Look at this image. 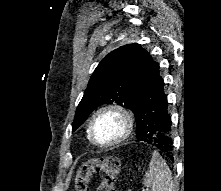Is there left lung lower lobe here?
Wrapping results in <instances>:
<instances>
[{
  "label": "left lung lower lobe",
  "instance_id": "0a47b994",
  "mask_svg": "<svg viewBox=\"0 0 221 191\" xmlns=\"http://www.w3.org/2000/svg\"><path fill=\"white\" fill-rule=\"evenodd\" d=\"M132 97L137 141L155 146L173 160L172 121L164 81L159 75V64L147 51L139 65Z\"/></svg>",
  "mask_w": 221,
  "mask_h": 191
}]
</instances>
